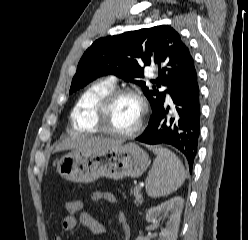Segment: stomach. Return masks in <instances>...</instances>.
I'll return each instance as SVG.
<instances>
[{"label": "stomach", "mask_w": 248, "mask_h": 240, "mask_svg": "<svg viewBox=\"0 0 248 240\" xmlns=\"http://www.w3.org/2000/svg\"><path fill=\"white\" fill-rule=\"evenodd\" d=\"M149 165L148 154L137 144L127 143L97 152L74 150L61 157L57 171L66 180L91 183L100 177H139Z\"/></svg>", "instance_id": "obj_1"}]
</instances>
